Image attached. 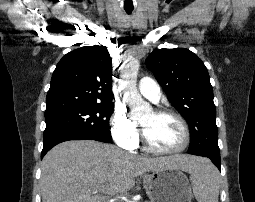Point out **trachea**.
I'll list each match as a JSON object with an SVG mask.
<instances>
[{
	"mask_svg": "<svg viewBox=\"0 0 255 202\" xmlns=\"http://www.w3.org/2000/svg\"><path fill=\"white\" fill-rule=\"evenodd\" d=\"M125 11H126L127 14H131L132 11H133V8H132V9H126V8H125Z\"/></svg>",
	"mask_w": 255,
	"mask_h": 202,
	"instance_id": "obj_1",
	"label": "trachea"
}]
</instances>
